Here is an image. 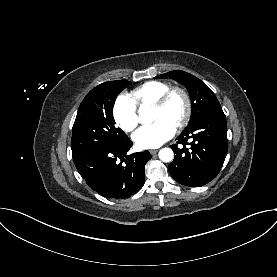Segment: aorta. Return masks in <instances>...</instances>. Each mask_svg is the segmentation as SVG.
<instances>
[{"label":"aorta","instance_id":"aorta-1","mask_svg":"<svg viewBox=\"0 0 277 277\" xmlns=\"http://www.w3.org/2000/svg\"><path fill=\"white\" fill-rule=\"evenodd\" d=\"M139 116L140 119L147 124L153 121V116L149 108L141 106L139 109ZM159 158L163 162H170L174 158V153L170 148H163L159 152Z\"/></svg>","mask_w":277,"mask_h":277}]
</instances>
